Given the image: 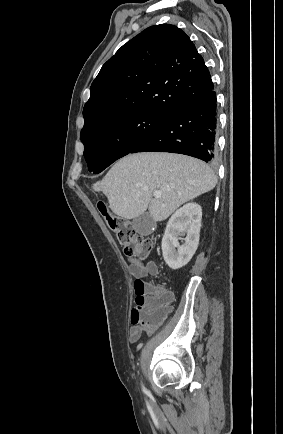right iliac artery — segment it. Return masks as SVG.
Masks as SVG:
<instances>
[{
  "instance_id": "obj_1",
  "label": "right iliac artery",
  "mask_w": 283,
  "mask_h": 434,
  "mask_svg": "<svg viewBox=\"0 0 283 434\" xmlns=\"http://www.w3.org/2000/svg\"><path fill=\"white\" fill-rule=\"evenodd\" d=\"M143 391L146 393L147 392V390L143 387Z\"/></svg>"
}]
</instances>
